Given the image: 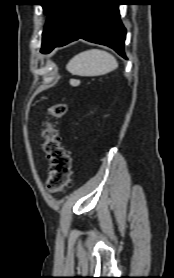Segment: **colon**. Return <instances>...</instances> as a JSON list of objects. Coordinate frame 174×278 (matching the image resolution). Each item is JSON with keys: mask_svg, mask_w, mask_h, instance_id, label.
<instances>
[{"mask_svg": "<svg viewBox=\"0 0 174 278\" xmlns=\"http://www.w3.org/2000/svg\"><path fill=\"white\" fill-rule=\"evenodd\" d=\"M67 112L63 103L53 104L48 108V121L43 130L44 151L49 163V174L46 185L51 192L65 190L71 179L72 159L69 150L61 142L58 129L53 124L54 120L61 119Z\"/></svg>", "mask_w": 174, "mask_h": 278, "instance_id": "colon-1", "label": "colon"}]
</instances>
